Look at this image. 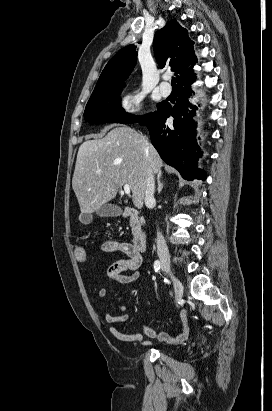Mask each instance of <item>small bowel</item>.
Instances as JSON below:
<instances>
[{
    "label": "small bowel",
    "instance_id": "c3829d8e",
    "mask_svg": "<svg viewBox=\"0 0 272 411\" xmlns=\"http://www.w3.org/2000/svg\"><path fill=\"white\" fill-rule=\"evenodd\" d=\"M103 252H120L126 257L114 262L107 270L105 277V285L122 283L128 284L135 282L140 277L139 268L142 264V256L138 250L134 248L132 243L121 241H106L102 245ZM108 294L106 286H102L98 290V295L105 298ZM114 307L119 311L118 315H113L109 310L104 311V320L110 324L109 332L111 335L122 342H134L144 346H150L152 343L144 339V336L166 341L168 343H181L188 339L189 328L184 321L183 332L173 338L164 332L156 331L147 324L142 325V333H123L114 326L115 323H126L130 319V314L126 307L120 303H114ZM175 339V342L171 341ZM177 339V340H176Z\"/></svg>",
    "mask_w": 272,
    "mask_h": 411
}]
</instances>
